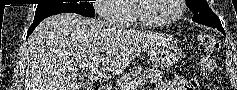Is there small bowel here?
I'll return each instance as SVG.
<instances>
[{"mask_svg":"<svg viewBox=\"0 0 237 90\" xmlns=\"http://www.w3.org/2000/svg\"><path fill=\"white\" fill-rule=\"evenodd\" d=\"M213 71V65L204 63L200 67V75L205 78ZM198 79L186 80L182 75L174 74L171 77L161 79L155 90H198Z\"/></svg>","mask_w":237,"mask_h":90,"instance_id":"1","label":"small bowel"}]
</instances>
